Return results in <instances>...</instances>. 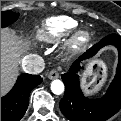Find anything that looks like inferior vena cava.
Wrapping results in <instances>:
<instances>
[{
    "label": "inferior vena cava",
    "instance_id": "inferior-vena-cava-1",
    "mask_svg": "<svg viewBox=\"0 0 121 121\" xmlns=\"http://www.w3.org/2000/svg\"><path fill=\"white\" fill-rule=\"evenodd\" d=\"M21 68L28 74H39L45 68L44 59L37 54L29 55L22 60Z\"/></svg>",
    "mask_w": 121,
    "mask_h": 121
}]
</instances>
